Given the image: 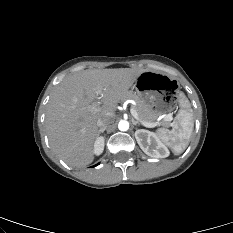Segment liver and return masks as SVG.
Here are the masks:
<instances>
[{
	"instance_id": "liver-1",
	"label": "liver",
	"mask_w": 233,
	"mask_h": 233,
	"mask_svg": "<svg viewBox=\"0 0 233 233\" xmlns=\"http://www.w3.org/2000/svg\"><path fill=\"white\" fill-rule=\"evenodd\" d=\"M145 70L140 68L84 70L66 76L54 89L47 104L45 124L50 145L68 165L93 162V146L99 136L97 121L110 116L116 105ZM102 105H97V89Z\"/></svg>"
}]
</instances>
